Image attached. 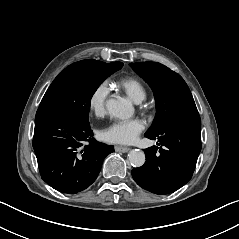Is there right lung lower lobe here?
<instances>
[{"label": "right lung lower lobe", "mask_w": 239, "mask_h": 239, "mask_svg": "<svg viewBox=\"0 0 239 239\" xmlns=\"http://www.w3.org/2000/svg\"><path fill=\"white\" fill-rule=\"evenodd\" d=\"M89 121L68 111L35 117L33 148L42 179L62 193L88 188L97 178L113 146L96 141Z\"/></svg>", "instance_id": "98d812e1"}]
</instances>
